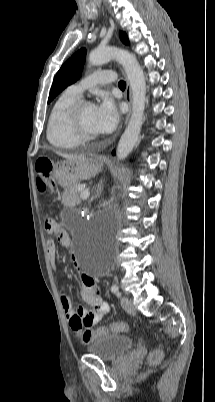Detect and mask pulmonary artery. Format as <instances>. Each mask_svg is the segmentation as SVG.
<instances>
[{"label":"pulmonary artery","mask_w":215,"mask_h":402,"mask_svg":"<svg viewBox=\"0 0 215 402\" xmlns=\"http://www.w3.org/2000/svg\"><path fill=\"white\" fill-rule=\"evenodd\" d=\"M115 73L112 71H96L77 84L71 85L68 89L73 93L82 96L83 92L97 84H106L115 81Z\"/></svg>","instance_id":"e3ab8cb5"}]
</instances>
